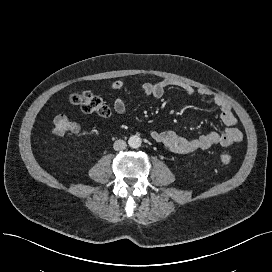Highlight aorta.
<instances>
[{
    "label": "aorta",
    "instance_id": "obj_1",
    "mask_svg": "<svg viewBox=\"0 0 272 272\" xmlns=\"http://www.w3.org/2000/svg\"><path fill=\"white\" fill-rule=\"evenodd\" d=\"M142 140L137 135H132L129 140L128 144L131 148H139L141 146Z\"/></svg>",
    "mask_w": 272,
    "mask_h": 272
}]
</instances>
